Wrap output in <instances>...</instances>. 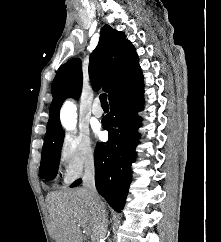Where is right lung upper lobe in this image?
<instances>
[{
    "label": "right lung upper lobe",
    "instance_id": "right-lung-upper-lobe-1",
    "mask_svg": "<svg viewBox=\"0 0 221 242\" xmlns=\"http://www.w3.org/2000/svg\"><path fill=\"white\" fill-rule=\"evenodd\" d=\"M140 72L138 56L132 43L126 40L123 32L105 25L89 60V78L93 90L97 91L102 86L109 99L121 83ZM82 80L80 59H71L58 69L52 82L53 100L44 139L63 132L59 120L60 107L66 98H78Z\"/></svg>",
    "mask_w": 221,
    "mask_h": 242
}]
</instances>
